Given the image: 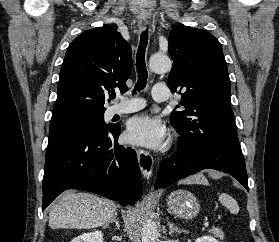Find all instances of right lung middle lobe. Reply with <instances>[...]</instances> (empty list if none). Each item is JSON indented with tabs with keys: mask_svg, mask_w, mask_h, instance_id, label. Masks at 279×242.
I'll return each mask as SVG.
<instances>
[{
	"mask_svg": "<svg viewBox=\"0 0 279 242\" xmlns=\"http://www.w3.org/2000/svg\"><path fill=\"white\" fill-rule=\"evenodd\" d=\"M104 112L73 111L52 115L48 144L86 134L93 135L110 127L104 122Z\"/></svg>",
	"mask_w": 279,
	"mask_h": 242,
	"instance_id": "obj_1",
	"label": "right lung middle lobe"
}]
</instances>
